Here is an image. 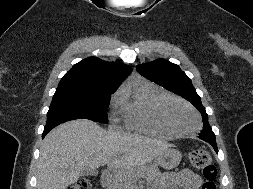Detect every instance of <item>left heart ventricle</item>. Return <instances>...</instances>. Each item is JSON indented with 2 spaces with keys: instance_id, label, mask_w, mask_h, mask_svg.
<instances>
[{
  "instance_id": "left-heart-ventricle-1",
  "label": "left heart ventricle",
  "mask_w": 253,
  "mask_h": 189,
  "mask_svg": "<svg viewBox=\"0 0 253 189\" xmlns=\"http://www.w3.org/2000/svg\"><path fill=\"white\" fill-rule=\"evenodd\" d=\"M167 120L178 130L185 131L196 127L193 113L177 103H168L164 109Z\"/></svg>"
}]
</instances>
